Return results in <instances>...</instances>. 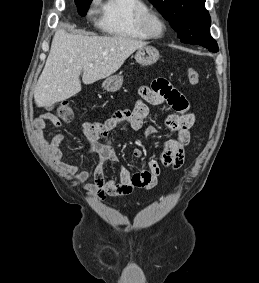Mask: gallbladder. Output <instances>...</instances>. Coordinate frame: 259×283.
Returning a JSON list of instances; mask_svg holds the SVG:
<instances>
[{
    "mask_svg": "<svg viewBox=\"0 0 259 283\" xmlns=\"http://www.w3.org/2000/svg\"><path fill=\"white\" fill-rule=\"evenodd\" d=\"M44 108L46 110H52L54 108V106L53 105H45Z\"/></svg>",
    "mask_w": 259,
    "mask_h": 283,
    "instance_id": "bac80fb5",
    "label": "gallbladder"
}]
</instances>
